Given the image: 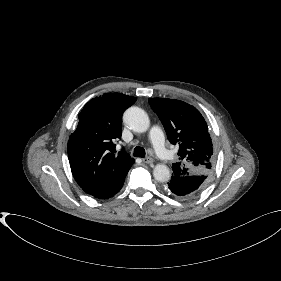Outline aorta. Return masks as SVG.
Wrapping results in <instances>:
<instances>
[{
	"mask_svg": "<svg viewBox=\"0 0 281 281\" xmlns=\"http://www.w3.org/2000/svg\"><path fill=\"white\" fill-rule=\"evenodd\" d=\"M124 122L133 131L146 132L150 126V120L146 112L139 107H130L124 112ZM154 178L159 182H168L171 178L169 168L164 164H157L153 170Z\"/></svg>",
	"mask_w": 281,
	"mask_h": 281,
	"instance_id": "762f6f07",
	"label": "aorta"
}]
</instances>
